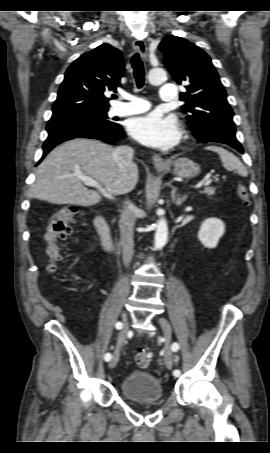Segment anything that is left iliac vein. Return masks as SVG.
I'll return each mask as SVG.
<instances>
[{
	"label": "left iliac vein",
	"mask_w": 270,
	"mask_h": 453,
	"mask_svg": "<svg viewBox=\"0 0 270 453\" xmlns=\"http://www.w3.org/2000/svg\"><path fill=\"white\" fill-rule=\"evenodd\" d=\"M159 324L162 328L165 344H164V362L168 369L172 368L173 358L171 353V338H172V328L168 320L164 317L159 319Z\"/></svg>",
	"instance_id": "left-iliac-vein-1"
}]
</instances>
